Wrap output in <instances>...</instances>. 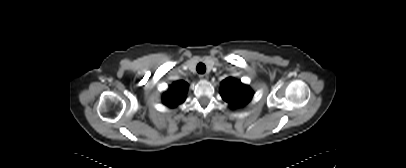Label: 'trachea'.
<instances>
[{"instance_id": "obj_1", "label": "trachea", "mask_w": 406, "mask_h": 168, "mask_svg": "<svg viewBox=\"0 0 406 168\" xmlns=\"http://www.w3.org/2000/svg\"><path fill=\"white\" fill-rule=\"evenodd\" d=\"M197 72L198 73H200V74H204L205 73V71H206V66H205V64H203V63H199L198 65H197Z\"/></svg>"}]
</instances>
